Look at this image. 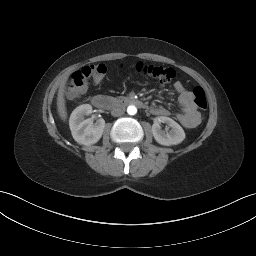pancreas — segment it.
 <instances>
[{"label": "pancreas", "mask_w": 256, "mask_h": 256, "mask_svg": "<svg viewBox=\"0 0 256 256\" xmlns=\"http://www.w3.org/2000/svg\"><path fill=\"white\" fill-rule=\"evenodd\" d=\"M114 101H121L122 99H124V97H119V98H112Z\"/></svg>", "instance_id": "1"}]
</instances>
